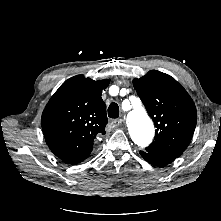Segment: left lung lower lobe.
Listing matches in <instances>:
<instances>
[{
	"instance_id": "left-lung-lower-lobe-1",
	"label": "left lung lower lobe",
	"mask_w": 221,
	"mask_h": 221,
	"mask_svg": "<svg viewBox=\"0 0 221 221\" xmlns=\"http://www.w3.org/2000/svg\"><path fill=\"white\" fill-rule=\"evenodd\" d=\"M140 154L147 162L155 166H163L171 163L176 159L174 157H169L165 155L150 154L147 153L146 151H140Z\"/></svg>"
}]
</instances>
